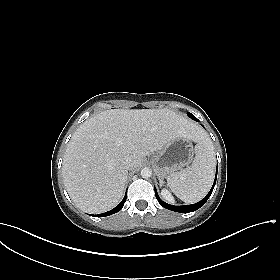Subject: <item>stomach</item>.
I'll use <instances>...</instances> for the list:
<instances>
[{
    "instance_id": "1",
    "label": "stomach",
    "mask_w": 280,
    "mask_h": 280,
    "mask_svg": "<svg viewBox=\"0 0 280 280\" xmlns=\"http://www.w3.org/2000/svg\"><path fill=\"white\" fill-rule=\"evenodd\" d=\"M194 152L190 139L177 137L154 153L151 163L159 178H168L189 165Z\"/></svg>"
}]
</instances>
